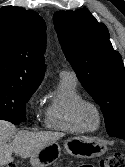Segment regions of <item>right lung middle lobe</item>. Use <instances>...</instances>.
<instances>
[{
  "mask_svg": "<svg viewBox=\"0 0 125 167\" xmlns=\"http://www.w3.org/2000/svg\"><path fill=\"white\" fill-rule=\"evenodd\" d=\"M35 90L0 86V119L13 124L26 121V103Z\"/></svg>",
  "mask_w": 125,
  "mask_h": 167,
  "instance_id": "dd1d6c3e",
  "label": "right lung middle lobe"
}]
</instances>
